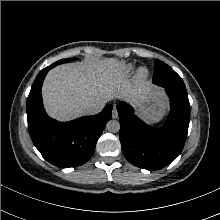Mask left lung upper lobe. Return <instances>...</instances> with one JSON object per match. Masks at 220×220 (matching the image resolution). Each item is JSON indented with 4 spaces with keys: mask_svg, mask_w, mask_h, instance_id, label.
Here are the masks:
<instances>
[{
    "mask_svg": "<svg viewBox=\"0 0 220 220\" xmlns=\"http://www.w3.org/2000/svg\"><path fill=\"white\" fill-rule=\"evenodd\" d=\"M154 64L153 83L163 87L186 90L182 78L171 67L160 60H155Z\"/></svg>",
    "mask_w": 220,
    "mask_h": 220,
    "instance_id": "1",
    "label": "left lung upper lobe"
}]
</instances>
